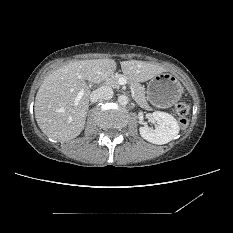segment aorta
Masks as SVG:
<instances>
[{"mask_svg":"<svg viewBox=\"0 0 233 233\" xmlns=\"http://www.w3.org/2000/svg\"><path fill=\"white\" fill-rule=\"evenodd\" d=\"M128 101H129V98H128V96H126V95H120V96L118 97V102H119V104H121V105H127V104H128Z\"/></svg>","mask_w":233,"mask_h":233,"instance_id":"1","label":"aorta"}]
</instances>
